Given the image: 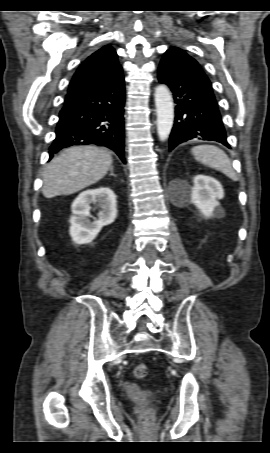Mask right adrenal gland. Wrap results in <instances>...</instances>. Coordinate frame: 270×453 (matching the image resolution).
<instances>
[{
  "label": "right adrenal gland",
  "instance_id": "right-adrenal-gland-1",
  "mask_svg": "<svg viewBox=\"0 0 270 453\" xmlns=\"http://www.w3.org/2000/svg\"><path fill=\"white\" fill-rule=\"evenodd\" d=\"M110 176H114V177H117L114 172H113V168H110Z\"/></svg>",
  "mask_w": 270,
  "mask_h": 453
}]
</instances>
